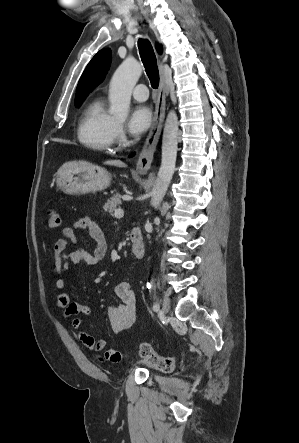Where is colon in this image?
I'll return each mask as SVG.
<instances>
[{
    "mask_svg": "<svg viewBox=\"0 0 299 443\" xmlns=\"http://www.w3.org/2000/svg\"><path fill=\"white\" fill-rule=\"evenodd\" d=\"M60 215L55 209H48L46 212V227L55 229L60 225ZM139 355L144 361L156 370L170 372L175 366L173 358L163 357L157 353L153 347L146 342L139 344Z\"/></svg>",
    "mask_w": 299,
    "mask_h": 443,
    "instance_id": "obj_1",
    "label": "colon"
}]
</instances>
